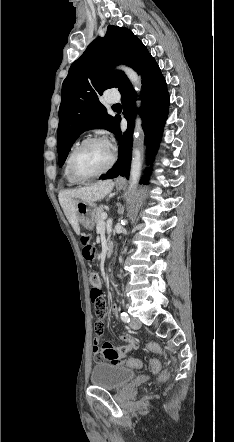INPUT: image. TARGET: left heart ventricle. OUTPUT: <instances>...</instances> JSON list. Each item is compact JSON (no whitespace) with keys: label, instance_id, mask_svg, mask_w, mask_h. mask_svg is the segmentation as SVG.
Instances as JSON below:
<instances>
[{"label":"left heart ventricle","instance_id":"b2bd125f","mask_svg":"<svg viewBox=\"0 0 234 442\" xmlns=\"http://www.w3.org/2000/svg\"><path fill=\"white\" fill-rule=\"evenodd\" d=\"M111 158L107 143H92L79 150L73 158V169L80 176H90L106 167Z\"/></svg>","mask_w":234,"mask_h":442}]
</instances>
